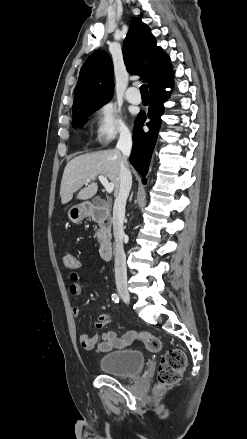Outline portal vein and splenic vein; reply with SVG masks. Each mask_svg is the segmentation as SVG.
Here are the masks:
<instances>
[{"mask_svg": "<svg viewBox=\"0 0 247 439\" xmlns=\"http://www.w3.org/2000/svg\"><path fill=\"white\" fill-rule=\"evenodd\" d=\"M98 179L102 183V185L105 187V189L108 193H111L114 190V184L112 182H109L105 176L99 175ZM89 181L90 180H86V184H88Z\"/></svg>", "mask_w": 247, "mask_h": 439, "instance_id": "portal-vein-and-splenic-vein-1", "label": "portal vein and splenic vein"}]
</instances>
